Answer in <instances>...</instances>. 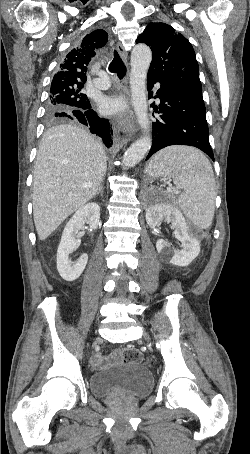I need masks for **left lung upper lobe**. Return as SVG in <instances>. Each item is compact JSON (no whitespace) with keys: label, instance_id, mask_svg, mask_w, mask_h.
<instances>
[{"label":"left lung upper lobe","instance_id":"obj_1","mask_svg":"<svg viewBox=\"0 0 250 454\" xmlns=\"http://www.w3.org/2000/svg\"><path fill=\"white\" fill-rule=\"evenodd\" d=\"M136 42L145 43L152 50L149 77L171 85L201 88L193 47L173 27L165 23H150Z\"/></svg>","mask_w":250,"mask_h":454}]
</instances>
